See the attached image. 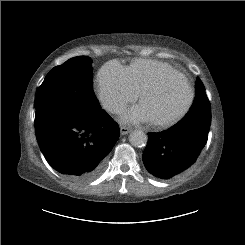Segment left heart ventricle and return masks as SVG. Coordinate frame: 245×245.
Segmentation results:
<instances>
[{
	"mask_svg": "<svg viewBox=\"0 0 245 245\" xmlns=\"http://www.w3.org/2000/svg\"><path fill=\"white\" fill-rule=\"evenodd\" d=\"M189 96L185 80L180 76H172L164 81L159 91L147 96L141 105L150 121L163 120L179 113L187 104Z\"/></svg>",
	"mask_w": 245,
	"mask_h": 245,
	"instance_id": "1",
	"label": "left heart ventricle"
}]
</instances>
